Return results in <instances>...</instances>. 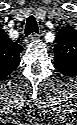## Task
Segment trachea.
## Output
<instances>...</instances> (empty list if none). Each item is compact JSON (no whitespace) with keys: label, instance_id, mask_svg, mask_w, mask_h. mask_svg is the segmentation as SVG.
Segmentation results:
<instances>
[{"label":"trachea","instance_id":"trachea-1","mask_svg":"<svg viewBox=\"0 0 77 125\" xmlns=\"http://www.w3.org/2000/svg\"><path fill=\"white\" fill-rule=\"evenodd\" d=\"M38 33V25L34 16H29L27 18V23L25 26V36L27 37L30 34Z\"/></svg>","mask_w":77,"mask_h":125}]
</instances>
